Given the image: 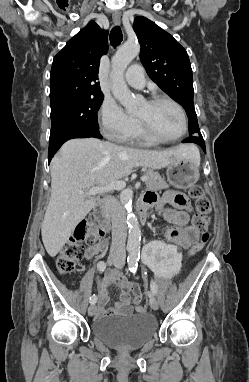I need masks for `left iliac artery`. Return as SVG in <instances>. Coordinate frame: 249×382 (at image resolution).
I'll list each match as a JSON object with an SVG mask.
<instances>
[{
  "label": "left iliac artery",
  "mask_w": 249,
  "mask_h": 382,
  "mask_svg": "<svg viewBox=\"0 0 249 382\" xmlns=\"http://www.w3.org/2000/svg\"><path fill=\"white\" fill-rule=\"evenodd\" d=\"M139 258H140V254L139 252L137 251H133L130 256L128 257L127 259V262H128V265H129V270L131 272H136V269H137V266H138V261H139ZM150 287H151V291L154 295L157 294V285L154 281H151V284H150Z\"/></svg>",
  "instance_id": "1"
}]
</instances>
